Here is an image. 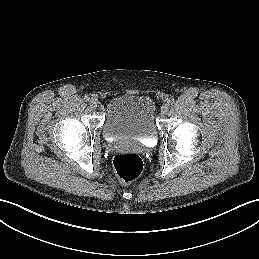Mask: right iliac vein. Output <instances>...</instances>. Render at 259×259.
<instances>
[{
    "mask_svg": "<svg viewBox=\"0 0 259 259\" xmlns=\"http://www.w3.org/2000/svg\"><path fill=\"white\" fill-rule=\"evenodd\" d=\"M90 106H91L92 109H96V107H97V101L94 100V99L91 100V101H90Z\"/></svg>",
    "mask_w": 259,
    "mask_h": 259,
    "instance_id": "obj_1",
    "label": "right iliac vein"
}]
</instances>
